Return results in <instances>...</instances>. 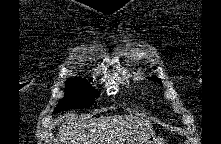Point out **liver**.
Listing matches in <instances>:
<instances>
[{"label":"liver","instance_id":"1","mask_svg":"<svg viewBox=\"0 0 221 144\" xmlns=\"http://www.w3.org/2000/svg\"><path fill=\"white\" fill-rule=\"evenodd\" d=\"M60 122L56 144H139L155 135L148 120L133 115L78 119L64 114Z\"/></svg>","mask_w":221,"mask_h":144}]
</instances>
